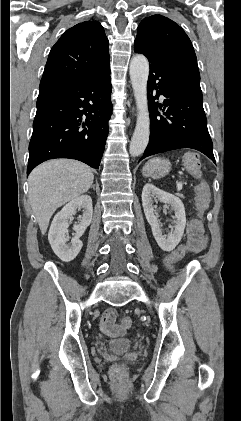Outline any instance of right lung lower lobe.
Segmentation results:
<instances>
[{
    "label": "right lung lower lobe",
    "mask_w": 241,
    "mask_h": 421,
    "mask_svg": "<svg viewBox=\"0 0 241 421\" xmlns=\"http://www.w3.org/2000/svg\"><path fill=\"white\" fill-rule=\"evenodd\" d=\"M110 66L39 92L27 175L38 164L71 158L99 168L112 114Z\"/></svg>",
    "instance_id": "obj_1"
}]
</instances>
